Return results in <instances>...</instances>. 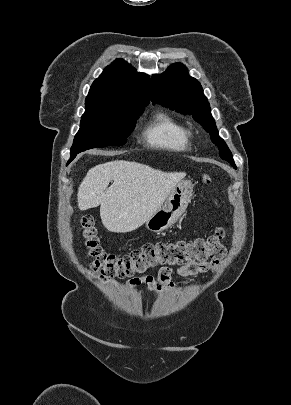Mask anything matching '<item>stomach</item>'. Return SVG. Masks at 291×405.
<instances>
[{
	"label": "stomach",
	"instance_id": "0dacf381",
	"mask_svg": "<svg viewBox=\"0 0 291 405\" xmlns=\"http://www.w3.org/2000/svg\"><path fill=\"white\" fill-rule=\"evenodd\" d=\"M193 194L189 180L179 182L168 195L164 206L160 207L146 222L152 232H161L172 226L185 212Z\"/></svg>",
	"mask_w": 291,
	"mask_h": 405
}]
</instances>
